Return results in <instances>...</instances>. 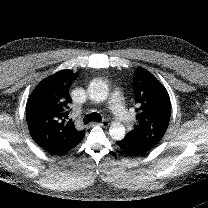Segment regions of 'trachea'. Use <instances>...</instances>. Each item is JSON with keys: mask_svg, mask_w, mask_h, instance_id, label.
I'll return each instance as SVG.
<instances>
[{"mask_svg": "<svg viewBox=\"0 0 208 208\" xmlns=\"http://www.w3.org/2000/svg\"><path fill=\"white\" fill-rule=\"evenodd\" d=\"M102 117L98 113H91L84 117L83 122L85 124L90 123L91 121L101 122Z\"/></svg>", "mask_w": 208, "mask_h": 208, "instance_id": "obj_1", "label": "trachea"}]
</instances>
